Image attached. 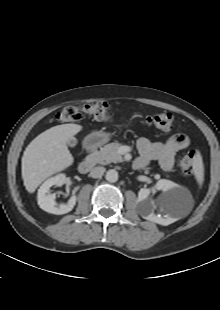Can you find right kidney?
I'll list each match as a JSON object with an SVG mask.
<instances>
[{"instance_id": "1", "label": "right kidney", "mask_w": 220, "mask_h": 310, "mask_svg": "<svg viewBox=\"0 0 220 310\" xmlns=\"http://www.w3.org/2000/svg\"><path fill=\"white\" fill-rule=\"evenodd\" d=\"M66 176L65 174H58L54 177H51L47 179L39 188L38 190V205L41 209L48 213L56 214V215H62L70 212L75 204L77 197L73 195L67 204H61L59 206H56L55 202V195L50 194L49 189L53 185L56 186H62L65 183Z\"/></svg>"}]
</instances>
